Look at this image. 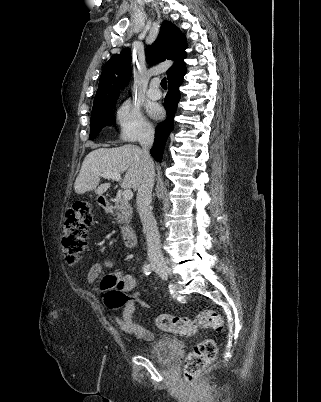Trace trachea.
Wrapping results in <instances>:
<instances>
[{
  "label": "trachea",
  "instance_id": "3493384b",
  "mask_svg": "<svg viewBox=\"0 0 321 402\" xmlns=\"http://www.w3.org/2000/svg\"><path fill=\"white\" fill-rule=\"evenodd\" d=\"M161 86L162 88L167 89V81L165 77L161 80Z\"/></svg>",
  "mask_w": 321,
  "mask_h": 402
}]
</instances>
